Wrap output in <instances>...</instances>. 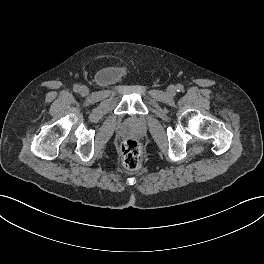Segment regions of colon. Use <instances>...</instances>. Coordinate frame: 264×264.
<instances>
[{
  "mask_svg": "<svg viewBox=\"0 0 264 264\" xmlns=\"http://www.w3.org/2000/svg\"><path fill=\"white\" fill-rule=\"evenodd\" d=\"M120 153L123 165L127 169L136 170L140 168L143 160L141 144L133 138L126 139L120 146Z\"/></svg>",
  "mask_w": 264,
  "mask_h": 264,
  "instance_id": "colon-1",
  "label": "colon"
}]
</instances>
